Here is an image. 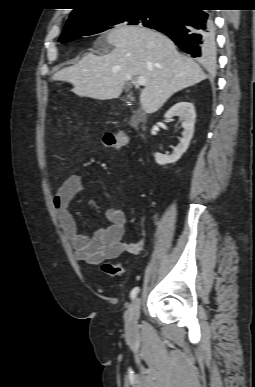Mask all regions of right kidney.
Wrapping results in <instances>:
<instances>
[{"instance_id": "ca27d5eb", "label": "right kidney", "mask_w": 255, "mask_h": 387, "mask_svg": "<svg viewBox=\"0 0 255 387\" xmlns=\"http://www.w3.org/2000/svg\"><path fill=\"white\" fill-rule=\"evenodd\" d=\"M174 116H179L180 121H182V139L180 143L174 148V151L170 155H163L161 153H155L156 163L159 165H165L169 163H174L178 161L181 156L186 152L190 140L193 137L194 133V123H195V109L192 103L189 102H179L171 107L165 114V118H172Z\"/></svg>"}]
</instances>
